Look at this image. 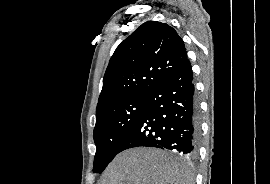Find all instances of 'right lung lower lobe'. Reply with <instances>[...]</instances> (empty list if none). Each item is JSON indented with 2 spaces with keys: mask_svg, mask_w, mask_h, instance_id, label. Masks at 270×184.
<instances>
[{
  "mask_svg": "<svg viewBox=\"0 0 270 184\" xmlns=\"http://www.w3.org/2000/svg\"><path fill=\"white\" fill-rule=\"evenodd\" d=\"M199 112L189 60L147 95L144 113L119 147L146 146L176 150L194 157L199 139Z\"/></svg>",
  "mask_w": 270,
  "mask_h": 184,
  "instance_id": "1",
  "label": "right lung lower lobe"
}]
</instances>
